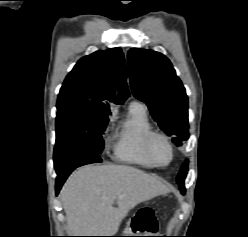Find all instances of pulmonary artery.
<instances>
[{
    "instance_id": "e3ab8cb5",
    "label": "pulmonary artery",
    "mask_w": 248,
    "mask_h": 237,
    "mask_svg": "<svg viewBox=\"0 0 248 237\" xmlns=\"http://www.w3.org/2000/svg\"><path fill=\"white\" fill-rule=\"evenodd\" d=\"M135 104L144 106L143 104H141L140 102H137V101H134V102L131 103V105H135Z\"/></svg>"
}]
</instances>
